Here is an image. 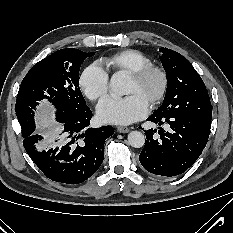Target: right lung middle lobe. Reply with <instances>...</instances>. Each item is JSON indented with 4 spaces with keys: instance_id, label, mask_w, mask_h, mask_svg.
<instances>
[{
    "instance_id": "1",
    "label": "right lung middle lobe",
    "mask_w": 233,
    "mask_h": 233,
    "mask_svg": "<svg viewBox=\"0 0 233 233\" xmlns=\"http://www.w3.org/2000/svg\"><path fill=\"white\" fill-rule=\"evenodd\" d=\"M94 54L75 48L61 49L30 69L21 83L15 108L23 138L34 132L33 110L44 99L57 109L59 122L89 109L79 88V70L81 63Z\"/></svg>"
}]
</instances>
